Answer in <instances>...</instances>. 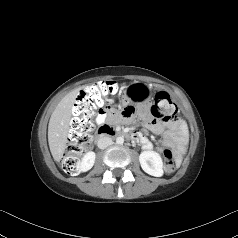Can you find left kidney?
Returning <instances> with one entry per match:
<instances>
[{
  "label": "left kidney",
  "instance_id": "1",
  "mask_svg": "<svg viewBox=\"0 0 238 238\" xmlns=\"http://www.w3.org/2000/svg\"><path fill=\"white\" fill-rule=\"evenodd\" d=\"M142 169L149 175L161 177L164 173L161 156L155 151H143L139 156Z\"/></svg>",
  "mask_w": 238,
  "mask_h": 238
}]
</instances>
